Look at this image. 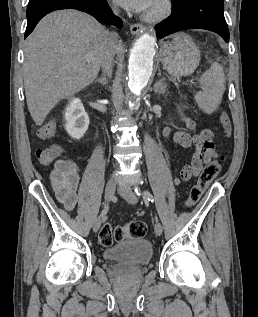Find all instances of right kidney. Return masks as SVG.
Here are the masks:
<instances>
[{
  "label": "right kidney",
  "instance_id": "obj_1",
  "mask_svg": "<svg viewBox=\"0 0 258 317\" xmlns=\"http://www.w3.org/2000/svg\"><path fill=\"white\" fill-rule=\"evenodd\" d=\"M66 124L65 128L73 138H81L84 136L89 126V116L85 112V108L80 98H72L65 110Z\"/></svg>",
  "mask_w": 258,
  "mask_h": 317
}]
</instances>
